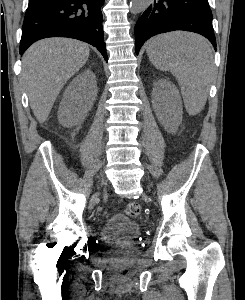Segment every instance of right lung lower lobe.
Segmentation results:
<instances>
[{
  "label": "right lung lower lobe",
  "mask_w": 245,
  "mask_h": 300,
  "mask_svg": "<svg viewBox=\"0 0 245 300\" xmlns=\"http://www.w3.org/2000/svg\"><path fill=\"white\" fill-rule=\"evenodd\" d=\"M104 0H40L26 10L20 54L46 37H70L95 46L107 60L102 29Z\"/></svg>",
  "instance_id": "obj_1"
}]
</instances>
